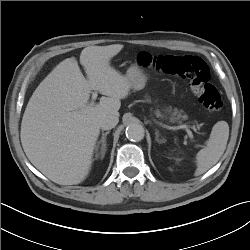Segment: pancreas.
Returning <instances> with one entry per match:
<instances>
[{
    "mask_svg": "<svg viewBox=\"0 0 250 250\" xmlns=\"http://www.w3.org/2000/svg\"><path fill=\"white\" fill-rule=\"evenodd\" d=\"M177 113H179V114H178V118H180V117L186 118V116H182V115L180 114V112H178V110L175 109V110H174V115H176ZM156 116H157V117H162V115H161V113H160L159 111H156Z\"/></svg>",
    "mask_w": 250,
    "mask_h": 250,
    "instance_id": "pancreas-1",
    "label": "pancreas"
}]
</instances>
